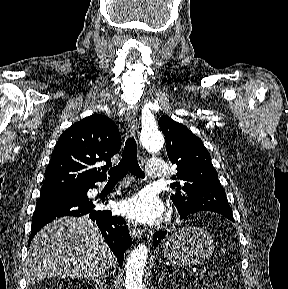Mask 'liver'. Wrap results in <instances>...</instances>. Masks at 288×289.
<instances>
[{"label": "liver", "mask_w": 288, "mask_h": 289, "mask_svg": "<svg viewBox=\"0 0 288 289\" xmlns=\"http://www.w3.org/2000/svg\"><path fill=\"white\" fill-rule=\"evenodd\" d=\"M113 263L114 255L93 221L64 217L33 238L25 277L29 283L51 277L93 278Z\"/></svg>", "instance_id": "1"}]
</instances>
